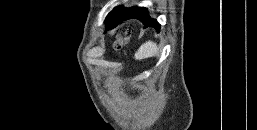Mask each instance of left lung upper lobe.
Returning a JSON list of instances; mask_svg holds the SVG:
<instances>
[{"mask_svg": "<svg viewBox=\"0 0 257 130\" xmlns=\"http://www.w3.org/2000/svg\"><path fill=\"white\" fill-rule=\"evenodd\" d=\"M117 8H118V7H117ZM115 9H116V8H115ZM112 12H113V11H112ZM112 12H111V13H112ZM111 13L108 14L107 18L109 17V15H110ZM107 18H106V19H107ZM105 21H106V20H105Z\"/></svg>", "mask_w": 257, "mask_h": 130, "instance_id": "left-lung-upper-lobe-1", "label": "left lung upper lobe"}]
</instances>
